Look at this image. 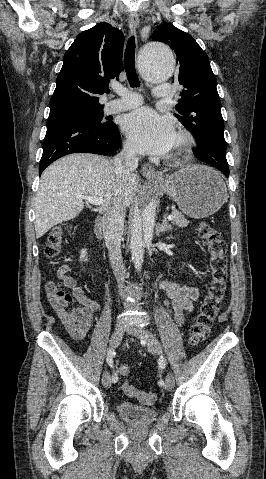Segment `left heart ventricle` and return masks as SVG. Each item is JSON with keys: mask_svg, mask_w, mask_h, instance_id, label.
Returning a JSON list of instances; mask_svg holds the SVG:
<instances>
[{"mask_svg": "<svg viewBox=\"0 0 266 479\" xmlns=\"http://www.w3.org/2000/svg\"><path fill=\"white\" fill-rule=\"evenodd\" d=\"M177 141H178L177 138H175V141H174V145H173V146H175V145L177 144Z\"/></svg>", "mask_w": 266, "mask_h": 479, "instance_id": "1", "label": "left heart ventricle"}]
</instances>
